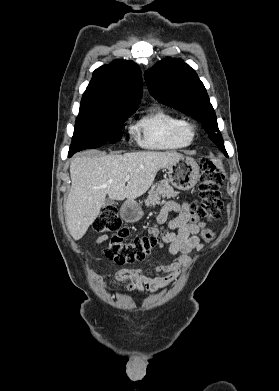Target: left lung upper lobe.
<instances>
[{
    "instance_id": "left-lung-upper-lobe-1",
    "label": "left lung upper lobe",
    "mask_w": 279,
    "mask_h": 391,
    "mask_svg": "<svg viewBox=\"0 0 279 391\" xmlns=\"http://www.w3.org/2000/svg\"><path fill=\"white\" fill-rule=\"evenodd\" d=\"M150 94L202 123L209 138L226 153L215 111L195 71L181 59L167 58L144 74Z\"/></svg>"
}]
</instances>
